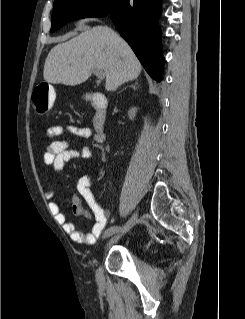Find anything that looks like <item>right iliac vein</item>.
Listing matches in <instances>:
<instances>
[{"mask_svg":"<svg viewBox=\"0 0 245 319\" xmlns=\"http://www.w3.org/2000/svg\"><path fill=\"white\" fill-rule=\"evenodd\" d=\"M137 221H138V214L134 213L133 216L130 218V220L118 232H116V234L114 235V237L112 239L117 240L122 235L126 234L137 223ZM110 236L111 235H109L107 233V231H105L103 238L105 239V238H108ZM96 280L99 283H102L104 280L103 268L101 265L97 268Z\"/></svg>","mask_w":245,"mask_h":319,"instance_id":"right-iliac-vein-1","label":"right iliac vein"}]
</instances>
